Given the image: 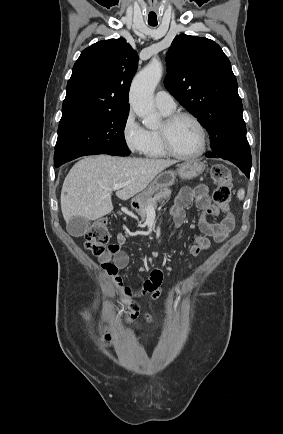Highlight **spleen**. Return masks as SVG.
<instances>
[{
    "label": "spleen",
    "instance_id": "spleen-1",
    "mask_svg": "<svg viewBox=\"0 0 283 434\" xmlns=\"http://www.w3.org/2000/svg\"><path fill=\"white\" fill-rule=\"evenodd\" d=\"M245 196V191L243 189H240L237 193V197L239 200H243Z\"/></svg>",
    "mask_w": 283,
    "mask_h": 434
}]
</instances>
